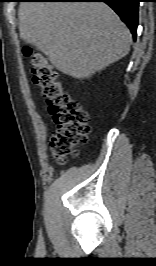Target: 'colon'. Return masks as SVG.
I'll return each mask as SVG.
<instances>
[{"mask_svg": "<svg viewBox=\"0 0 156 266\" xmlns=\"http://www.w3.org/2000/svg\"><path fill=\"white\" fill-rule=\"evenodd\" d=\"M23 54L31 58L34 83L41 88L56 125L51 140L54 160L64 162L74 153L76 146L87 141L89 114L65 91L57 73L43 54L34 52L28 46L23 48Z\"/></svg>", "mask_w": 156, "mask_h": 266, "instance_id": "colon-1", "label": "colon"}]
</instances>
